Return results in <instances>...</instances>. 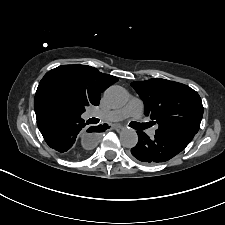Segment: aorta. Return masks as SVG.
<instances>
[{
    "mask_svg": "<svg viewBox=\"0 0 225 225\" xmlns=\"http://www.w3.org/2000/svg\"><path fill=\"white\" fill-rule=\"evenodd\" d=\"M107 103L114 108L124 106L128 101L127 91L121 86H111L105 91ZM121 144L126 148L134 147L138 142V135L135 130L125 128L120 132Z\"/></svg>",
    "mask_w": 225,
    "mask_h": 225,
    "instance_id": "obj_1",
    "label": "aorta"
}]
</instances>
